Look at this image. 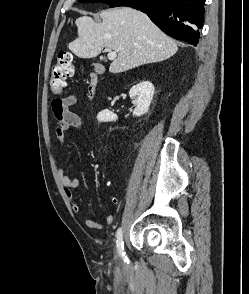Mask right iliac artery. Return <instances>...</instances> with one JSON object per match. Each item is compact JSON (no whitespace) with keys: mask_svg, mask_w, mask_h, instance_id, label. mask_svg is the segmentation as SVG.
<instances>
[{"mask_svg":"<svg viewBox=\"0 0 249 294\" xmlns=\"http://www.w3.org/2000/svg\"><path fill=\"white\" fill-rule=\"evenodd\" d=\"M116 243H117V251L119 253V255L124 259V261L126 262V260L128 259L127 256L125 255L124 252V242H123V234H122V230L121 228H119L117 230L116 233Z\"/></svg>","mask_w":249,"mask_h":294,"instance_id":"obj_1","label":"right iliac artery"}]
</instances>
